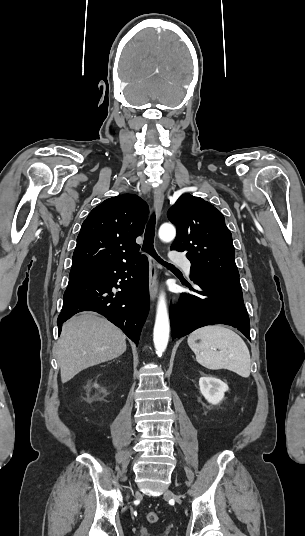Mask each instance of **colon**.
<instances>
[{"instance_id":"5ec220e1","label":"colon","mask_w":305,"mask_h":536,"mask_svg":"<svg viewBox=\"0 0 305 536\" xmlns=\"http://www.w3.org/2000/svg\"><path fill=\"white\" fill-rule=\"evenodd\" d=\"M146 518L149 523H157L159 521V516L155 512L148 513Z\"/></svg>"}]
</instances>
